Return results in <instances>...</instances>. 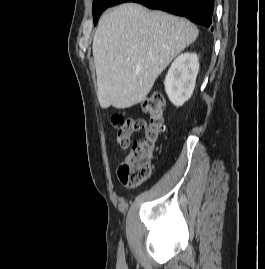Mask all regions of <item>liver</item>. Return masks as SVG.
I'll return each mask as SVG.
<instances>
[{
	"label": "liver",
	"mask_w": 265,
	"mask_h": 269,
	"mask_svg": "<svg viewBox=\"0 0 265 269\" xmlns=\"http://www.w3.org/2000/svg\"><path fill=\"white\" fill-rule=\"evenodd\" d=\"M198 34L186 19L136 3L104 14L92 45L100 106L124 109L143 101L157 77Z\"/></svg>",
	"instance_id": "liver-1"
}]
</instances>
